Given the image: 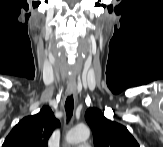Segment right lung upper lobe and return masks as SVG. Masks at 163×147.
Returning a JSON list of instances; mask_svg holds the SVG:
<instances>
[{
	"label": "right lung upper lobe",
	"instance_id": "cb5924a9",
	"mask_svg": "<svg viewBox=\"0 0 163 147\" xmlns=\"http://www.w3.org/2000/svg\"><path fill=\"white\" fill-rule=\"evenodd\" d=\"M59 125L52 110L44 106L38 114L24 117L14 126L2 147H47L49 137Z\"/></svg>",
	"mask_w": 163,
	"mask_h": 147
}]
</instances>
